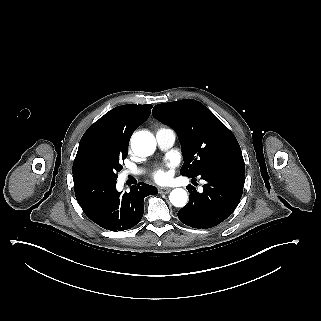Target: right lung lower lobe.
<instances>
[{
    "mask_svg": "<svg viewBox=\"0 0 321 321\" xmlns=\"http://www.w3.org/2000/svg\"><path fill=\"white\" fill-rule=\"evenodd\" d=\"M73 181L76 199L84 213L94 223L115 232L138 224L144 213V198L157 194L156 187L139 183L121 195L115 179L90 174L75 175Z\"/></svg>",
    "mask_w": 321,
    "mask_h": 321,
    "instance_id": "right-lung-lower-lobe-1",
    "label": "right lung lower lobe"
}]
</instances>
